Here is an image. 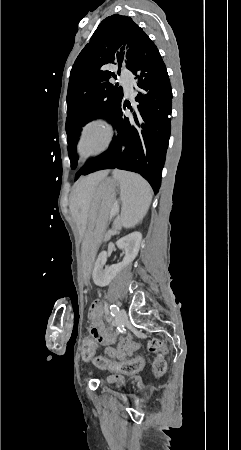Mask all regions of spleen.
Listing matches in <instances>:
<instances>
[{
	"mask_svg": "<svg viewBox=\"0 0 241 450\" xmlns=\"http://www.w3.org/2000/svg\"><path fill=\"white\" fill-rule=\"evenodd\" d=\"M113 178L120 186L122 200L121 222L123 228H134L146 216L152 202V188L134 172L114 170Z\"/></svg>",
	"mask_w": 241,
	"mask_h": 450,
	"instance_id": "spleen-1",
	"label": "spleen"
}]
</instances>
